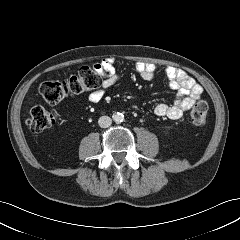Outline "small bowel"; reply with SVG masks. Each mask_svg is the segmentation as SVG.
Listing matches in <instances>:
<instances>
[{"instance_id":"1","label":"small bowel","mask_w":240,"mask_h":240,"mask_svg":"<svg viewBox=\"0 0 240 240\" xmlns=\"http://www.w3.org/2000/svg\"><path fill=\"white\" fill-rule=\"evenodd\" d=\"M94 69L102 76L100 86L89 94V100L96 103L104 97L107 89L117 83L120 76L116 70L114 57H107L95 63ZM133 69L144 80H152L157 74V67L146 62H136ZM165 73L170 88L177 92V98L173 104H157L154 113L159 117L178 119L194 106L203 89L194 78L179 68L167 66Z\"/></svg>"}]
</instances>
